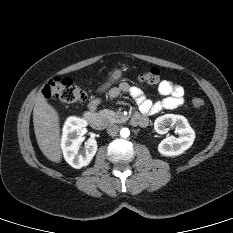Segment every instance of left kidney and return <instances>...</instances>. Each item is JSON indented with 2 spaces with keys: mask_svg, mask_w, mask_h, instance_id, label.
I'll use <instances>...</instances> for the list:
<instances>
[{
  "mask_svg": "<svg viewBox=\"0 0 233 233\" xmlns=\"http://www.w3.org/2000/svg\"><path fill=\"white\" fill-rule=\"evenodd\" d=\"M168 127L175 128L178 138L168 136L158 145V151L163 156H177L189 149L195 139V132L187 119L182 115L166 114L158 117L154 122V129L159 134L169 131Z\"/></svg>",
  "mask_w": 233,
  "mask_h": 233,
  "instance_id": "left-kidney-1",
  "label": "left kidney"
}]
</instances>
